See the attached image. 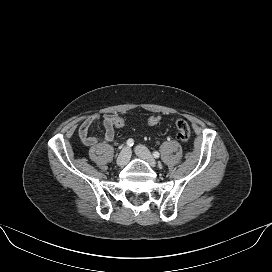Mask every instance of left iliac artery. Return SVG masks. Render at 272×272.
Wrapping results in <instances>:
<instances>
[{"label": "left iliac artery", "mask_w": 272, "mask_h": 272, "mask_svg": "<svg viewBox=\"0 0 272 272\" xmlns=\"http://www.w3.org/2000/svg\"><path fill=\"white\" fill-rule=\"evenodd\" d=\"M153 156H154L155 158H159L160 154H159V152L155 151V152H153Z\"/></svg>", "instance_id": "left-iliac-artery-1"}]
</instances>
